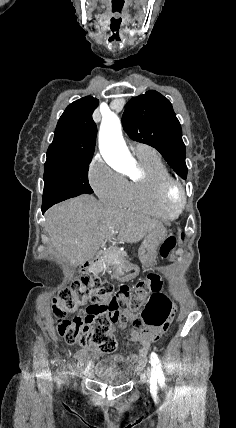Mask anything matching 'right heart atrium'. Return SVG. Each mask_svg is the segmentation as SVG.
<instances>
[{
    "label": "right heart atrium",
    "mask_w": 236,
    "mask_h": 428,
    "mask_svg": "<svg viewBox=\"0 0 236 428\" xmlns=\"http://www.w3.org/2000/svg\"><path fill=\"white\" fill-rule=\"evenodd\" d=\"M88 181L98 200L105 201V206L122 205L126 180L100 155H96L89 165Z\"/></svg>",
    "instance_id": "d8ad5b80"
}]
</instances>
